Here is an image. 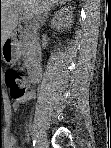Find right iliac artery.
<instances>
[{"mask_svg": "<svg viewBox=\"0 0 111 148\" xmlns=\"http://www.w3.org/2000/svg\"><path fill=\"white\" fill-rule=\"evenodd\" d=\"M30 128L34 129L33 131H35V127L34 126H30ZM33 146H37V141L34 138H33Z\"/></svg>", "mask_w": 111, "mask_h": 148, "instance_id": "1", "label": "right iliac artery"}]
</instances>
